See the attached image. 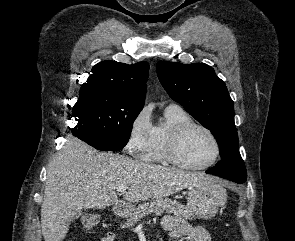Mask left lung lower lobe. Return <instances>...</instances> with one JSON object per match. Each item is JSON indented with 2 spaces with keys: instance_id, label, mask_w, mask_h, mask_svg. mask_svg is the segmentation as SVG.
I'll return each instance as SVG.
<instances>
[{
  "instance_id": "obj_1",
  "label": "left lung lower lobe",
  "mask_w": 295,
  "mask_h": 241,
  "mask_svg": "<svg viewBox=\"0 0 295 241\" xmlns=\"http://www.w3.org/2000/svg\"><path fill=\"white\" fill-rule=\"evenodd\" d=\"M206 173H207V174H213L210 170H207ZM213 175H215V174H213ZM234 182L241 183L239 180H236V181H234Z\"/></svg>"
}]
</instances>
